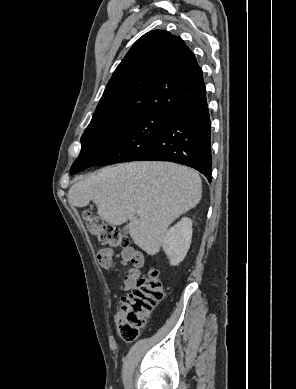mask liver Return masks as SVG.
Returning <instances> with one entry per match:
<instances>
[{
    "instance_id": "1",
    "label": "liver",
    "mask_w": 296,
    "mask_h": 389,
    "mask_svg": "<svg viewBox=\"0 0 296 389\" xmlns=\"http://www.w3.org/2000/svg\"><path fill=\"white\" fill-rule=\"evenodd\" d=\"M201 197L202 182L196 171L161 161L106 167L68 191L69 203L85 207L93 201L99 217L112 226L129 220L131 238L149 255L160 251L168 226Z\"/></svg>"
}]
</instances>
